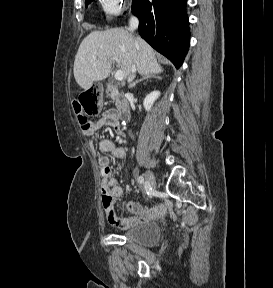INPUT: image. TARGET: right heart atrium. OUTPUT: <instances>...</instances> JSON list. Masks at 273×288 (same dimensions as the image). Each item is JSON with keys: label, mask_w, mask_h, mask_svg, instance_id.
Returning <instances> with one entry per match:
<instances>
[{"label": "right heart atrium", "mask_w": 273, "mask_h": 288, "mask_svg": "<svg viewBox=\"0 0 273 288\" xmlns=\"http://www.w3.org/2000/svg\"><path fill=\"white\" fill-rule=\"evenodd\" d=\"M129 1L130 0H100L103 11L109 17L120 14Z\"/></svg>", "instance_id": "1"}]
</instances>
